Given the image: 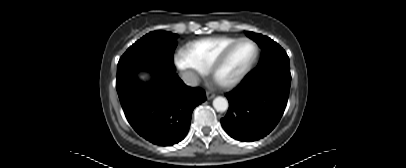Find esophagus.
I'll list each match as a JSON object with an SVG mask.
<instances>
[{
	"label": "esophagus",
	"instance_id": "esophagus-1",
	"mask_svg": "<svg viewBox=\"0 0 406 168\" xmlns=\"http://www.w3.org/2000/svg\"><path fill=\"white\" fill-rule=\"evenodd\" d=\"M206 97H207L208 100H211V99H213L215 97V94L212 93V92H207Z\"/></svg>",
	"mask_w": 406,
	"mask_h": 168
}]
</instances>
